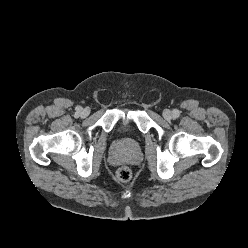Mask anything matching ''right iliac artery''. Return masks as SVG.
<instances>
[{"mask_svg": "<svg viewBox=\"0 0 248 248\" xmlns=\"http://www.w3.org/2000/svg\"><path fill=\"white\" fill-rule=\"evenodd\" d=\"M76 110H77V113H80L81 110H82V108L81 107H77Z\"/></svg>", "mask_w": 248, "mask_h": 248, "instance_id": "obj_1", "label": "right iliac artery"}]
</instances>
